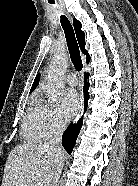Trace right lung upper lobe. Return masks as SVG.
<instances>
[{"instance_id": "right-lung-upper-lobe-1", "label": "right lung upper lobe", "mask_w": 138, "mask_h": 186, "mask_svg": "<svg viewBox=\"0 0 138 186\" xmlns=\"http://www.w3.org/2000/svg\"><path fill=\"white\" fill-rule=\"evenodd\" d=\"M73 24H74V29H75V33H76V37H77V40H78V43H79V46H80V49L81 51L87 56V63H89L90 61V56L89 54L87 53V50L85 49V34L84 32L81 30V23L74 19L73 20ZM40 80V74H38L33 82V85H32V88H31V91L36 87V85L38 84Z\"/></svg>"}]
</instances>
